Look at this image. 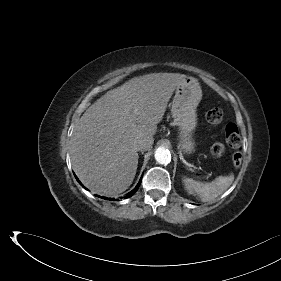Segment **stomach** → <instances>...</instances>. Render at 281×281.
I'll return each instance as SVG.
<instances>
[{
    "label": "stomach",
    "instance_id": "obj_1",
    "mask_svg": "<svg viewBox=\"0 0 281 281\" xmlns=\"http://www.w3.org/2000/svg\"><path fill=\"white\" fill-rule=\"evenodd\" d=\"M202 90L194 77H185L177 86L171 113L180 130L179 147L184 153H192L195 143L192 138L197 125L196 108L201 101Z\"/></svg>",
    "mask_w": 281,
    "mask_h": 281
}]
</instances>
